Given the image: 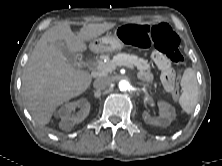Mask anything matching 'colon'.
<instances>
[{"mask_svg": "<svg viewBox=\"0 0 222 166\" xmlns=\"http://www.w3.org/2000/svg\"><path fill=\"white\" fill-rule=\"evenodd\" d=\"M118 36L126 44L140 48L154 46L161 54L165 55L162 81L165 88L172 92L175 99H178L180 95L179 80L171 67V62L180 65L184 62V57L180 51V39L172 28L167 23L130 24L120 28Z\"/></svg>", "mask_w": 222, "mask_h": 166, "instance_id": "colon-1", "label": "colon"}]
</instances>
